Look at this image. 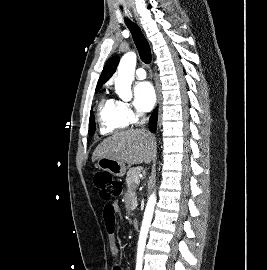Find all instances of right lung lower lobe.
I'll return each instance as SVG.
<instances>
[{
    "label": "right lung lower lobe",
    "mask_w": 267,
    "mask_h": 270,
    "mask_svg": "<svg viewBox=\"0 0 267 270\" xmlns=\"http://www.w3.org/2000/svg\"><path fill=\"white\" fill-rule=\"evenodd\" d=\"M156 121H157V110H155L152 113L149 121V128L153 133L156 131Z\"/></svg>",
    "instance_id": "right-lung-lower-lobe-1"
}]
</instances>
